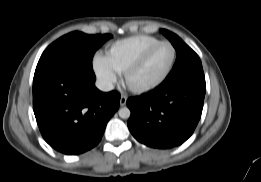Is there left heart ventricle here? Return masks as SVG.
<instances>
[{"label": "left heart ventricle", "instance_id": "1", "mask_svg": "<svg viewBox=\"0 0 261 182\" xmlns=\"http://www.w3.org/2000/svg\"><path fill=\"white\" fill-rule=\"evenodd\" d=\"M172 56L173 52L169 46H160L151 54L145 64L131 76L130 84L141 87L155 82L168 68Z\"/></svg>", "mask_w": 261, "mask_h": 182}]
</instances>
